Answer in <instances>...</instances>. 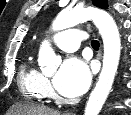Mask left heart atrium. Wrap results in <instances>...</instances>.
<instances>
[{
	"mask_svg": "<svg viewBox=\"0 0 131 115\" xmlns=\"http://www.w3.org/2000/svg\"><path fill=\"white\" fill-rule=\"evenodd\" d=\"M90 81L91 72L88 65L83 60L70 56L61 65L53 84L60 94L76 97L87 90Z\"/></svg>",
	"mask_w": 131,
	"mask_h": 115,
	"instance_id": "1",
	"label": "left heart atrium"
}]
</instances>
